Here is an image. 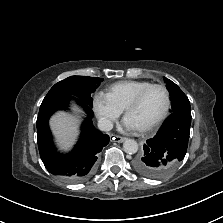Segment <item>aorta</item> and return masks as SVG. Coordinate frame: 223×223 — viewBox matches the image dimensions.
<instances>
[{
  "instance_id": "762f6f07",
  "label": "aorta",
  "mask_w": 223,
  "mask_h": 223,
  "mask_svg": "<svg viewBox=\"0 0 223 223\" xmlns=\"http://www.w3.org/2000/svg\"><path fill=\"white\" fill-rule=\"evenodd\" d=\"M123 150L127 154H135L138 151V143L134 139H126L123 143Z\"/></svg>"
}]
</instances>
